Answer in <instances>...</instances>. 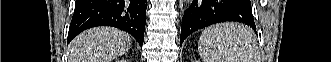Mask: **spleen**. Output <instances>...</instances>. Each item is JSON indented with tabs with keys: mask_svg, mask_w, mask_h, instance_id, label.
I'll return each mask as SVG.
<instances>
[{
	"mask_svg": "<svg viewBox=\"0 0 331 62\" xmlns=\"http://www.w3.org/2000/svg\"><path fill=\"white\" fill-rule=\"evenodd\" d=\"M198 52L204 62H257V42L253 35L236 23H222L205 29Z\"/></svg>",
	"mask_w": 331,
	"mask_h": 62,
	"instance_id": "3e777b00",
	"label": "spleen"
}]
</instances>
